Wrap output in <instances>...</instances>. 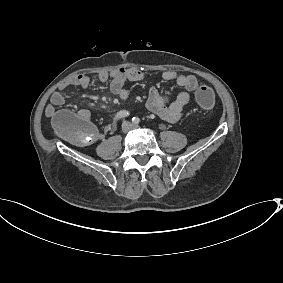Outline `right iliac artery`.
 I'll return each instance as SVG.
<instances>
[{
	"label": "right iliac artery",
	"mask_w": 283,
	"mask_h": 283,
	"mask_svg": "<svg viewBox=\"0 0 283 283\" xmlns=\"http://www.w3.org/2000/svg\"><path fill=\"white\" fill-rule=\"evenodd\" d=\"M129 116V112L126 110L119 111L114 117V123L121 118Z\"/></svg>",
	"instance_id": "1"
}]
</instances>
